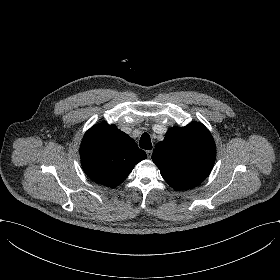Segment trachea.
Returning a JSON list of instances; mask_svg holds the SVG:
<instances>
[{
  "mask_svg": "<svg viewBox=\"0 0 280 280\" xmlns=\"http://www.w3.org/2000/svg\"><path fill=\"white\" fill-rule=\"evenodd\" d=\"M139 145L142 149H145V150L152 149V143H151L150 136L148 135V133L142 134Z\"/></svg>",
  "mask_w": 280,
  "mask_h": 280,
  "instance_id": "obj_1",
  "label": "trachea"
}]
</instances>
